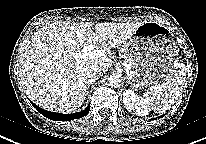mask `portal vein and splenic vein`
<instances>
[{
  "label": "portal vein and splenic vein",
  "instance_id": "obj_1",
  "mask_svg": "<svg viewBox=\"0 0 206 144\" xmlns=\"http://www.w3.org/2000/svg\"><path fill=\"white\" fill-rule=\"evenodd\" d=\"M101 53H102L101 50L96 49V46L91 44V45L84 47L80 51L74 52L73 55L76 60L86 61L88 59H94L95 57L101 56ZM123 65H124L126 74L130 78H132L133 75L130 72V65L127 64L126 62H124Z\"/></svg>",
  "mask_w": 206,
  "mask_h": 144
}]
</instances>
